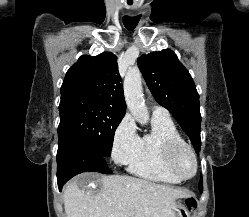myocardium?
Instances as JSON below:
<instances>
[{
  "instance_id": "obj_1",
  "label": "myocardium",
  "mask_w": 249,
  "mask_h": 217,
  "mask_svg": "<svg viewBox=\"0 0 249 217\" xmlns=\"http://www.w3.org/2000/svg\"><path fill=\"white\" fill-rule=\"evenodd\" d=\"M183 154H188L192 159V170L187 174L183 173L178 167V160ZM166 163L169 170L182 180L192 178L198 170L197 156L191 146L184 141H173L167 145Z\"/></svg>"
}]
</instances>
